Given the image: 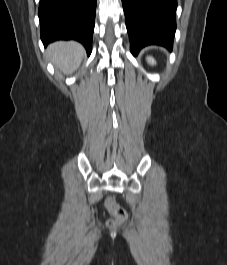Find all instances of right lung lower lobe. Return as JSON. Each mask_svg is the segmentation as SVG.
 Segmentation results:
<instances>
[{
  "label": "right lung lower lobe",
  "instance_id": "98d812e1",
  "mask_svg": "<svg viewBox=\"0 0 227 265\" xmlns=\"http://www.w3.org/2000/svg\"><path fill=\"white\" fill-rule=\"evenodd\" d=\"M97 0H40L38 16L41 40H77L87 54L92 51Z\"/></svg>",
  "mask_w": 227,
  "mask_h": 265
}]
</instances>
